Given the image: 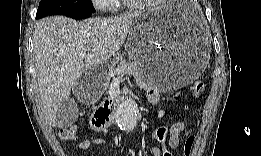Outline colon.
Returning <instances> with one entry per match:
<instances>
[{
	"label": "colon",
	"instance_id": "obj_1",
	"mask_svg": "<svg viewBox=\"0 0 261 156\" xmlns=\"http://www.w3.org/2000/svg\"><path fill=\"white\" fill-rule=\"evenodd\" d=\"M205 88V82L204 81H196L194 82L190 87V96L195 98L198 97ZM111 119V110H110V104L108 102H105V104L99 106L94 114L91 117L90 124L92 128L96 131H103L105 130L110 123ZM78 132L77 129L74 127L65 128L61 131V138L63 140L69 141L74 140L77 138ZM158 139L160 141H163L167 136V130L161 129L157 133ZM194 143V137L191 136L186 140L184 151L186 155H190L192 151Z\"/></svg>",
	"mask_w": 261,
	"mask_h": 156
}]
</instances>
